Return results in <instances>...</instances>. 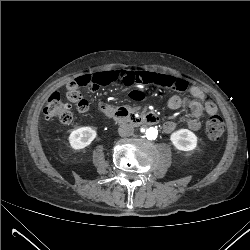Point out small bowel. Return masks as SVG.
Wrapping results in <instances>:
<instances>
[{
	"label": "small bowel",
	"mask_w": 250,
	"mask_h": 250,
	"mask_svg": "<svg viewBox=\"0 0 250 250\" xmlns=\"http://www.w3.org/2000/svg\"><path fill=\"white\" fill-rule=\"evenodd\" d=\"M150 74L159 75L162 77V80L159 84L160 86L174 87L178 90H182L188 85L186 78L179 75H174L169 72L150 70ZM190 91L192 97L194 98L193 102H190L187 97H175L172 99L171 103L176 107L187 106L186 110L181 115V119L186 121L192 129H198V118L201 112L200 102L204 99L206 92L204 88L198 83L191 84ZM173 125L174 121L172 117L168 116L164 118L163 126L165 130H171Z\"/></svg>",
	"instance_id": "small-bowel-1"
}]
</instances>
